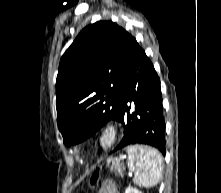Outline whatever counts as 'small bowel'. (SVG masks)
Masks as SVG:
<instances>
[{"mask_svg": "<svg viewBox=\"0 0 221 193\" xmlns=\"http://www.w3.org/2000/svg\"><path fill=\"white\" fill-rule=\"evenodd\" d=\"M97 193H119L116 186L110 182L102 185Z\"/></svg>", "mask_w": 221, "mask_h": 193, "instance_id": "c3829d8e", "label": "small bowel"}]
</instances>
